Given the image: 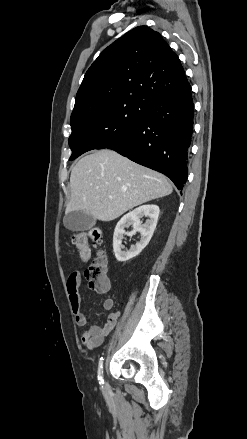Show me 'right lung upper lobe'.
Segmentation results:
<instances>
[{"label":"right lung upper lobe","mask_w":247,"mask_h":439,"mask_svg":"<svg viewBox=\"0 0 247 439\" xmlns=\"http://www.w3.org/2000/svg\"><path fill=\"white\" fill-rule=\"evenodd\" d=\"M189 88L178 56L162 36L139 26L104 49L93 62L77 92L71 116L120 100L150 106Z\"/></svg>","instance_id":"obj_1"}]
</instances>
